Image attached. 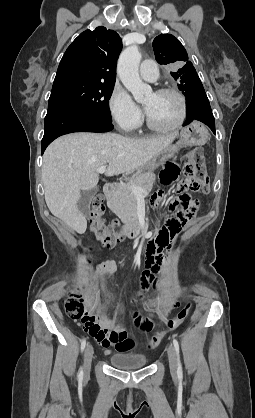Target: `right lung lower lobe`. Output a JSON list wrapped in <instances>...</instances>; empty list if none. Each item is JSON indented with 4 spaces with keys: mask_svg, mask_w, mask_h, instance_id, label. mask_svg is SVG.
<instances>
[{
    "mask_svg": "<svg viewBox=\"0 0 255 418\" xmlns=\"http://www.w3.org/2000/svg\"><path fill=\"white\" fill-rule=\"evenodd\" d=\"M44 128L42 154L46 147L61 135L73 132H108L113 129V125L80 110L52 108L47 111Z\"/></svg>",
    "mask_w": 255,
    "mask_h": 418,
    "instance_id": "1",
    "label": "right lung lower lobe"
}]
</instances>
